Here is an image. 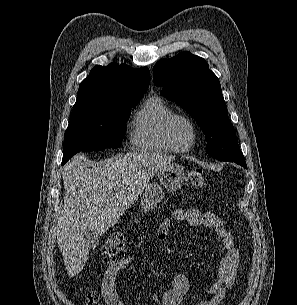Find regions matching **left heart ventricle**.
<instances>
[{
    "label": "left heart ventricle",
    "mask_w": 297,
    "mask_h": 305,
    "mask_svg": "<svg viewBox=\"0 0 297 305\" xmlns=\"http://www.w3.org/2000/svg\"><path fill=\"white\" fill-rule=\"evenodd\" d=\"M173 133L181 146H186L191 139V128L187 122L178 120L173 126Z\"/></svg>",
    "instance_id": "1"
}]
</instances>
